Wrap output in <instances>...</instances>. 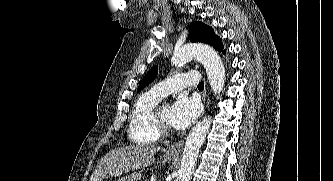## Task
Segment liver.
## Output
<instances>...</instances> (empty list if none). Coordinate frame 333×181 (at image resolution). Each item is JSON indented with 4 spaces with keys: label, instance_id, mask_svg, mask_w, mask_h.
Returning a JSON list of instances; mask_svg holds the SVG:
<instances>
[{
    "label": "liver",
    "instance_id": "obj_1",
    "mask_svg": "<svg viewBox=\"0 0 333 181\" xmlns=\"http://www.w3.org/2000/svg\"><path fill=\"white\" fill-rule=\"evenodd\" d=\"M158 146L130 145L107 153L97 164L90 181H103L109 177H120L130 171L152 165Z\"/></svg>",
    "mask_w": 333,
    "mask_h": 181
}]
</instances>
